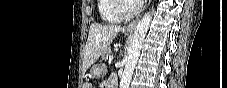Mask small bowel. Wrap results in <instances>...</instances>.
<instances>
[{
	"instance_id": "small-bowel-1",
	"label": "small bowel",
	"mask_w": 227,
	"mask_h": 88,
	"mask_svg": "<svg viewBox=\"0 0 227 88\" xmlns=\"http://www.w3.org/2000/svg\"><path fill=\"white\" fill-rule=\"evenodd\" d=\"M117 80V76L112 75L109 79H107L105 82H103L100 87L101 88H113V81Z\"/></svg>"
}]
</instances>
